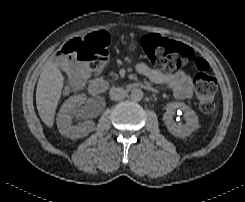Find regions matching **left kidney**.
<instances>
[{
    "label": "left kidney",
    "instance_id": "1",
    "mask_svg": "<svg viewBox=\"0 0 245 202\" xmlns=\"http://www.w3.org/2000/svg\"><path fill=\"white\" fill-rule=\"evenodd\" d=\"M176 109H180L184 113L185 124H177L173 120V115ZM165 126L169 132L176 136L183 138L191 135L193 131L198 128V116L190 107L182 102H171L166 106V112L163 116Z\"/></svg>",
    "mask_w": 245,
    "mask_h": 202
}]
</instances>
